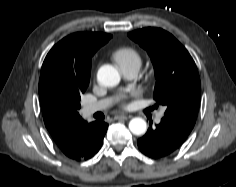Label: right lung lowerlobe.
I'll use <instances>...</instances> for the list:
<instances>
[{"instance_id":"obj_1","label":"right lung lower lobe","mask_w":236,"mask_h":187,"mask_svg":"<svg viewBox=\"0 0 236 187\" xmlns=\"http://www.w3.org/2000/svg\"><path fill=\"white\" fill-rule=\"evenodd\" d=\"M107 128L108 124L103 121H95L88 124L82 136L80 152L75 156L74 160H87L93 157L101 148Z\"/></svg>"}]
</instances>
